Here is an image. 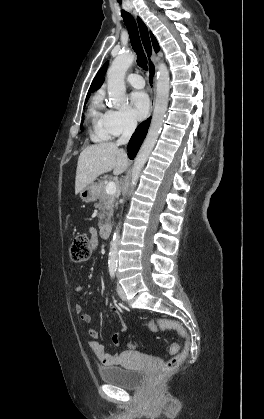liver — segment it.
Wrapping results in <instances>:
<instances>
[{
	"label": "liver",
	"instance_id": "liver-1",
	"mask_svg": "<svg viewBox=\"0 0 264 419\" xmlns=\"http://www.w3.org/2000/svg\"><path fill=\"white\" fill-rule=\"evenodd\" d=\"M128 165L126 152L114 142H101L85 148L78 158L75 194L93 183L99 175L113 170V174L118 176L126 171Z\"/></svg>",
	"mask_w": 264,
	"mask_h": 419
}]
</instances>
